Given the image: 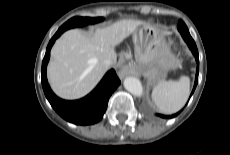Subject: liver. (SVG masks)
<instances>
[{
    "label": "liver",
    "mask_w": 230,
    "mask_h": 155,
    "mask_svg": "<svg viewBox=\"0 0 230 155\" xmlns=\"http://www.w3.org/2000/svg\"><path fill=\"white\" fill-rule=\"evenodd\" d=\"M143 23L122 19L93 34L77 29L66 31L52 47L47 67L53 91L64 99H78L88 94L106 72L104 59L117 57L115 46Z\"/></svg>",
    "instance_id": "6515ba94"
}]
</instances>
